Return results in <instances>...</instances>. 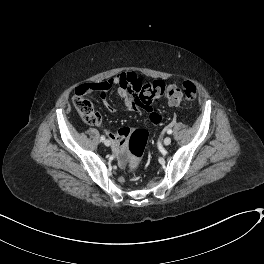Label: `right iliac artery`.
<instances>
[{
  "mask_svg": "<svg viewBox=\"0 0 264 264\" xmlns=\"http://www.w3.org/2000/svg\"><path fill=\"white\" fill-rule=\"evenodd\" d=\"M100 139H101V141H104V140H105V136L102 135V136L100 137Z\"/></svg>",
  "mask_w": 264,
  "mask_h": 264,
  "instance_id": "1",
  "label": "right iliac artery"
}]
</instances>
